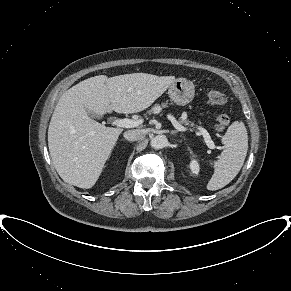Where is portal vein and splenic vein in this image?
I'll return each instance as SVG.
<instances>
[{"label":"portal vein and splenic vein","instance_id":"1","mask_svg":"<svg viewBox=\"0 0 291 291\" xmlns=\"http://www.w3.org/2000/svg\"><path fill=\"white\" fill-rule=\"evenodd\" d=\"M167 118L172 122L173 126L181 132H185L188 130L187 127L182 126L172 115H167ZM143 120L138 119V120H132V119H117L115 120L114 124L117 127H123V128H132V127H137L140 124H142ZM197 129L199 130V134H201L207 144V146L210 149H214L215 145L214 142L211 140V137L209 135V133L206 131V129L202 128V127H197Z\"/></svg>","mask_w":291,"mask_h":291}]
</instances>
